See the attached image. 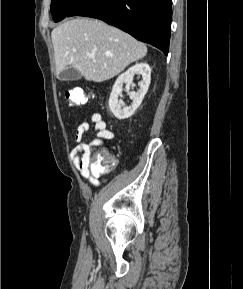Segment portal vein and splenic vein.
<instances>
[{
  "label": "portal vein and splenic vein",
  "instance_id": "18ae733b",
  "mask_svg": "<svg viewBox=\"0 0 243 289\" xmlns=\"http://www.w3.org/2000/svg\"><path fill=\"white\" fill-rule=\"evenodd\" d=\"M90 58L92 59V61H95V57L93 55H91Z\"/></svg>",
  "mask_w": 243,
  "mask_h": 289
}]
</instances>
